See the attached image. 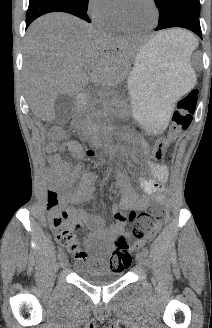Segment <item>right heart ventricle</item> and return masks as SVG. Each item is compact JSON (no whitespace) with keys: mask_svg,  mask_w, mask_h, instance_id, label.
<instances>
[{"mask_svg":"<svg viewBox=\"0 0 212 328\" xmlns=\"http://www.w3.org/2000/svg\"><path fill=\"white\" fill-rule=\"evenodd\" d=\"M100 26L112 33H121V32H127L118 21L117 15L114 13L110 14L107 18H105L103 21H101Z\"/></svg>","mask_w":212,"mask_h":328,"instance_id":"e07e8e85","label":"right heart ventricle"}]
</instances>
